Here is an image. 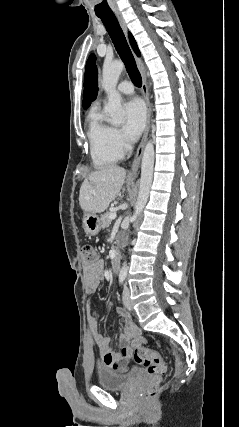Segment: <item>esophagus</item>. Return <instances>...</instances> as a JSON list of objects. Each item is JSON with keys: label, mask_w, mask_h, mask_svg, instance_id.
I'll use <instances>...</instances> for the list:
<instances>
[{"label": "esophagus", "mask_w": 239, "mask_h": 427, "mask_svg": "<svg viewBox=\"0 0 239 427\" xmlns=\"http://www.w3.org/2000/svg\"><path fill=\"white\" fill-rule=\"evenodd\" d=\"M117 20L121 26V28L123 29V31L125 32V34H127V26L125 23V20L122 16V14L120 12H116L115 13ZM135 60H136V64L137 67L140 71L141 74V78H142V94H143V98L145 100L146 103V108H147V120H146V127H145V131L142 137V140L137 148L134 160L132 162L131 165V170L129 172V177H134L137 173L139 164H140V160L142 158L143 155V151H144V147L147 141V137H148V133H149V128H150V116H151V108H150V102H149V93H148V86H147V80H146V74H145V67L144 64L141 60V58L137 57L135 55Z\"/></svg>", "instance_id": "esophagus-1"}]
</instances>
